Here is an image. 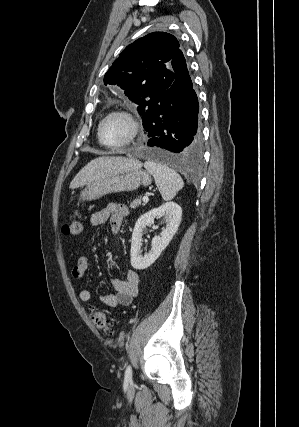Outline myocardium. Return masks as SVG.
Wrapping results in <instances>:
<instances>
[{"mask_svg": "<svg viewBox=\"0 0 299 427\" xmlns=\"http://www.w3.org/2000/svg\"><path fill=\"white\" fill-rule=\"evenodd\" d=\"M112 116H122L128 121V123L130 125V134H129L128 138L126 140H124L123 142H121L119 144H115V145L107 144V143L103 142V140L101 139L102 125L108 118H110ZM139 132H140V122L134 113H132L131 111H129L127 109H115V110L108 112L100 120L98 127H97V138H98L99 143L102 146H104L106 148H110V149H118V148L127 146L130 143H132L135 140V138L138 136Z\"/></svg>", "mask_w": 299, "mask_h": 427, "instance_id": "f54148a6", "label": "myocardium"}]
</instances>
